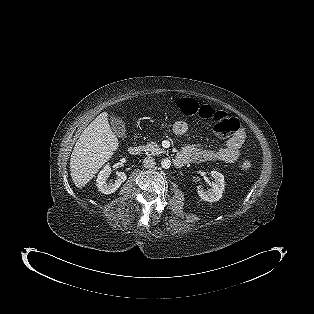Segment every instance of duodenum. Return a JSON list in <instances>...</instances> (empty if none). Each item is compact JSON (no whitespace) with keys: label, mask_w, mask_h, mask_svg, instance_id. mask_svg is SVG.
Returning a JSON list of instances; mask_svg holds the SVG:
<instances>
[{"label":"duodenum","mask_w":314,"mask_h":314,"mask_svg":"<svg viewBox=\"0 0 314 314\" xmlns=\"http://www.w3.org/2000/svg\"><path fill=\"white\" fill-rule=\"evenodd\" d=\"M142 151V147L138 141H136L130 148H129V153L133 156L139 155ZM174 165L176 167H182L186 163V158L182 155H177L173 159Z\"/></svg>","instance_id":"duodenum-1"}]
</instances>
